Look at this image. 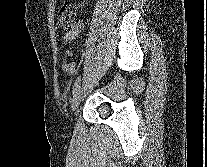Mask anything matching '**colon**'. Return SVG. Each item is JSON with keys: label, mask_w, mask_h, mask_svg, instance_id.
<instances>
[{"label": "colon", "mask_w": 207, "mask_h": 167, "mask_svg": "<svg viewBox=\"0 0 207 167\" xmlns=\"http://www.w3.org/2000/svg\"><path fill=\"white\" fill-rule=\"evenodd\" d=\"M58 24L59 26L66 31L65 36L72 34L75 24L72 16L71 5L65 3L59 11L58 15Z\"/></svg>", "instance_id": "1"}]
</instances>
